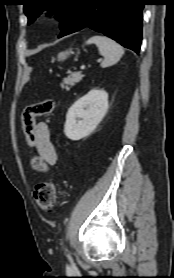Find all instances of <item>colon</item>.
<instances>
[{
  "label": "colon",
  "instance_id": "colon-1",
  "mask_svg": "<svg viewBox=\"0 0 174 278\" xmlns=\"http://www.w3.org/2000/svg\"><path fill=\"white\" fill-rule=\"evenodd\" d=\"M54 109V101L41 100L25 107L22 113V126L25 141L29 148L36 149L38 138L36 133V118L47 116ZM34 197L38 206L45 211H52L56 205V188L51 182L38 184L34 190Z\"/></svg>",
  "mask_w": 174,
  "mask_h": 278
}]
</instances>
